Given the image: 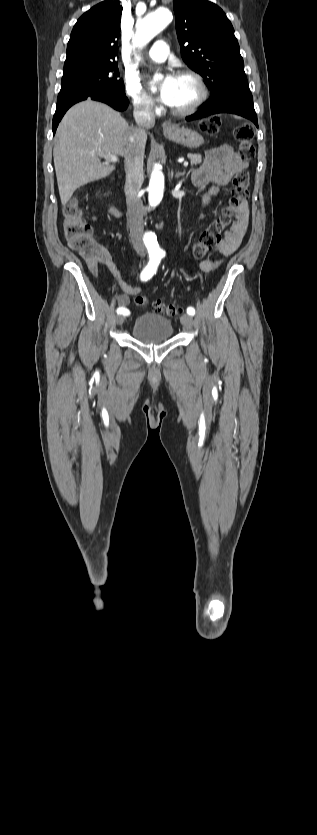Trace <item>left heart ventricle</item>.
<instances>
[{
    "label": "left heart ventricle",
    "mask_w": 317,
    "mask_h": 835,
    "mask_svg": "<svg viewBox=\"0 0 317 835\" xmlns=\"http://www.w3.org/2000/svg\"><path fill=\"white\" fill-rule=\"evenodd\" d=\"M197 89L188 78L176 77V87L171 107L182 109L189 106L196 98Z\"/></svg>",
    "instance_id": "left-heart-ventricle-1"
}]
</instances>
